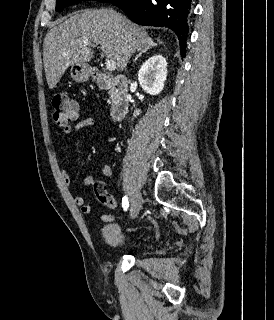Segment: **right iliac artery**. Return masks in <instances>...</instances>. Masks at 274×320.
Returning <instances> with one entry per match:
<instances>
[{
  "instance_id": "82829eb1",
  "label": "right iliac artery",
  "mask_w": 274,
  "mask_h": 320,
  "mask_svg": "<svg viewBox=\"0 0 274 320\" xmlns=\"http://www.w3.org/2000/svg\"><path fill=\"white\" fill-rule=\"evenodd\" d=\"M122 207L124 209V211H126L129 207V201H128V198L126 196H124L122 198Z\"/></svg>"
}]
</instances>
